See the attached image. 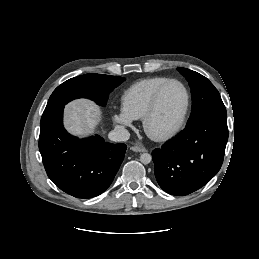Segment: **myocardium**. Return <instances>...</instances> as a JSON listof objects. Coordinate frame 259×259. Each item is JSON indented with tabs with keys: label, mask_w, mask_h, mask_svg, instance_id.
<instances>
[{
	"label": "myocardium",
	"mask_w": 259,
	"mask_h": 259,
	"mask_svg": "<svg viewBox=\"0 0 259 259\" xmlns=\"http://www.w3.org/2000/svg\"><path fill=\"white\" fill-rule=\"evenodd\" d=\"M172 83L179 84L180 86H182V88L185 91L186 104H185L183 114H182L179 122L172 129H170L169 131L162 133V134H154L150 131V127H149L150 121L158 109L160 97H161L163 90L169 84H172ZM190 107H191V93H190V90L187 87V85L183 81L176 79V78H170V79L166 80L155 90L152 100L150 102V105L142 118L143 129H144L145 133L151 139H153L155 141H165V140H168V139L174 137L184 126V124L187 120L189 111H190Z\"/></svg>",
	"instance_id": "f54148a6"
}]
</instances>
